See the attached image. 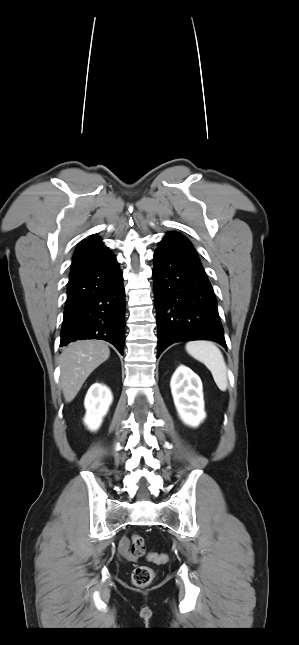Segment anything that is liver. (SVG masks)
<instances>
[{
	"instance_id": "1",
	"label": "liver",
	"mask_w": 299,
	"mask_h": 645,
	"mask_svg": "<svg viewBox=\"0 0 299 645\" xmlns=\"http://www.w3.org/2000/svg\"><path fill=\"white\" fill-rule=\"evenodd\" d=\"M110 356L108 346L98 340L71 343L60 356V383L66 402H71L89 375Z\"/></svg>"
}]
</instances>
